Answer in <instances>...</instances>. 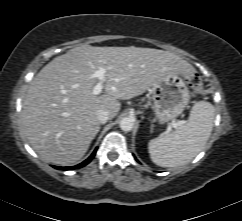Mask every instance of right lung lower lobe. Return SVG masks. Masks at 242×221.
<instances>
[{
    "label": "right lung lower lobe",
    "instance_id": "right-lung-lower-lobe-1",
    "mask_svg": "<svg viewBox=\"0 0 242 221\" xmlns=\"http://www.w3.org/2000/svg\"><path fill=\"white\" fill-rule=\"evenodd\" d=\"M96 151H97V149L94 150V152L91 154V156L88 159H86L85 161H83L82 163H80V164H78L76 166H73V167H58V166H54V168L62 169V170H72V169L84 167L85 165H87L93 159V157L96 154Z\"/></svg>",
    "mask_w": 242,
    "mask_h": 221
}]
</instances>
